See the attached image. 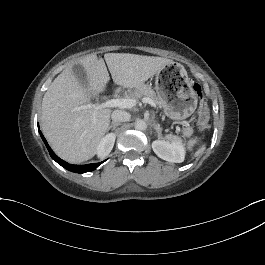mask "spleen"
I'll use <instances>...</instances> for the list:
<instances>
[{
    "label": "spleen",
    "mask_w": 265,
    "mask_h": 265,
    "mask_svg": "<svg viewBox=\"0 0 265 265\" xmlns=\"http://www.w3.org/2000/svg\"><path fill=\"white\" fill-rule=\"evenodd\" d=\"M165 138H166L168 141H172V142H177V141L179 140L177 136H175V135H171V134L166 135ZM195 143H196V140H190V141L188 142V146H189V148H191ZM204 150H205V147H202V148L198 151V153L203 152Z\"/></svg>",
    "instance_id": "spleen-1"
}]
</instances>
